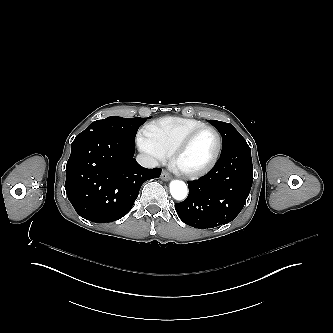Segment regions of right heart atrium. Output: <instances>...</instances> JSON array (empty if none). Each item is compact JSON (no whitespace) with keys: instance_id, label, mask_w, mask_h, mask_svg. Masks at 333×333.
Returning a JSON list of instances; mask_svg holds the SVG:
<instances>
[{"instance_id":"d8ad5b80","label":"right heart atrium","mask_w":333,"mask_h":333,"mask_svg":"<svg viewBox=\"0 0 333 333\" xmlns=\"http://www.w3.org/2000/svg\"><path fill=\"white\" fill-rule=\"evenodd\" d=\"M140 150L147 155V157L154 163V164H159L163 162V157L159 155L157 152H155L152 149H149L148 147L139 144Z\"/></svg>"}]
</instances>
